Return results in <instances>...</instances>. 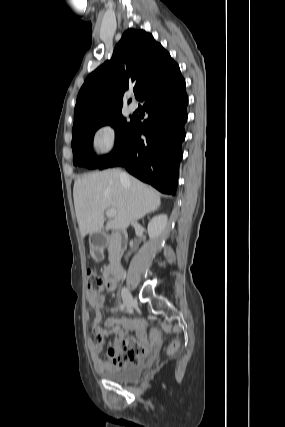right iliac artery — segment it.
Listing matches in <instances>:
<instances>
[{"mask_svg": "<svg viewBox=\"0 0 285 427\" xmlns=\"http://www.w3.org/2000/svg\"><path fill=\"white\" fill-rule=\"evenodd\" d=\"M120 308L123 310L125 308L124 304H121Z\"/></svg>", "mask_w": 285, "mask_h": 427, "instance_id": "obj_1", "label": "right iliac artery"}]
</instances>
